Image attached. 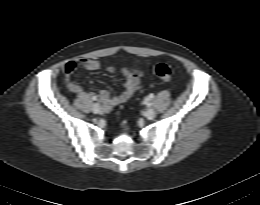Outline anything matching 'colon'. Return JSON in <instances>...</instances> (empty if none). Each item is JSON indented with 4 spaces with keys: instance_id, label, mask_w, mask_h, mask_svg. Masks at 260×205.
<instances>
[{
    "instance_id": "5ec220e1",
    "label": "colon",
    "mask_w": 260,
    "mask_h": 205,
    "mask_svg": "<svg viewBox=\"0 0 260 205\" xmlns=\"http://www.w3.org/2000/svg\"><path fill=\"white\" fill-rule=\"evenodd\" d=\"M154 74L163 81H170L173 76V71L169 65L159 63L154 68Z\"/></svg>"
}]
</instances>
